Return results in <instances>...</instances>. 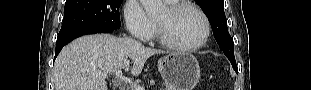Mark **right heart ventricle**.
Returning a JSON list of instances; mask_svg holds the SVG:
<instances>
[{
    "label": "right heart ventricle",
    "instance_id": "right-heart-ventricle-1",
    "mask_svg": "<svg viewBox=\"0 0 311 90\" xmlns=\"http://www.w3.org/2000/svg\"><path fill=\"white\" fill-rule=\"evenodd\" d=\"M169 5H173V4H176L177 3V1L176 2H167ZM155 26V25H154ZM154 30H155V27H154Z\"/></svg>",
    "mask_w": 311,
    "mask_h": 90
}]
</instances>
